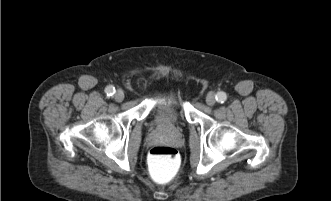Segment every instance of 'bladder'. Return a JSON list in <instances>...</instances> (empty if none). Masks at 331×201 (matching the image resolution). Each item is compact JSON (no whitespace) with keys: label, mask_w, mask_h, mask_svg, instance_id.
Returning a JSON list of instances; mask_svg holds the SVG:
<instances>
[{"label":"bladder","mask_w":331,"mask_h":201,"mask_svg":"<svg viewBox=\"0 0 331 201\" xmlns=\"http://www.w3.org/2000/svg\"><path fill=\"white\" fill-rule=\"evenodd\" d=\"M185 91L176 86L159 88L150 99V121L155 125L177 123L185 114Z\"/></svg>","instance_id":"1"}]
</instances>
